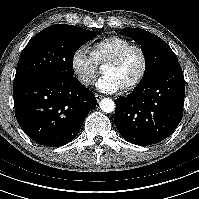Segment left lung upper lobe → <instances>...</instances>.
<instances>
[{"instance_id": "5c2ea615", "label": "left lung upper lobe", "mask_w": 199, "mask_h": 199, "mask_svg": "<svg viewBox=\"0 0 199 199\" xmlns=\"http://www.w3.org/2000/svg\"><path fill=\"white\" fill-rule=\"evenodd\" d=\"M122 33L134 39L146 57V68L139 83L147 81L159 71L178 63L176 55L169 45L158 36L137 28H123Z\"/></svg>"}]
</instances>
